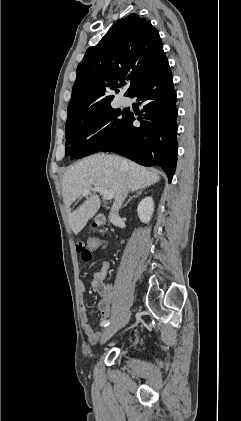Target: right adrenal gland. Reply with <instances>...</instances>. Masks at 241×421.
<instances>
[{
  "label": "right adrenal gland",
  "mask_w": 241,
  "mask_h": 421,
  "mask_svg": "<svg viewBox=\"0 0 241 421\" xmlns=\"http://www.w3.org/2000/svg\"><path fill=\"white\" fill-rule=\"evenodd\" d=\"M142 191H143V189H141V190L137 191L135 195H133L132 197H130V198L128 199V201H127V202L123 205V207H122V208L126 207V206L129 204V202H130L133 198H136L138 195H140V194L142 193Z\"/></svg>",
  "instance_id": "obj_1"
}]
</instances>
